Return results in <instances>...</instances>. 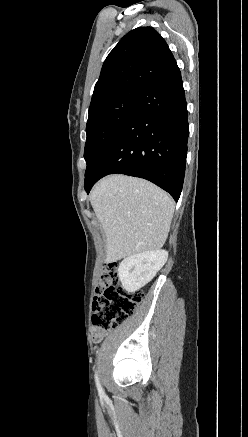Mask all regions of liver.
I'll return each instance as SVG.
<instances>
[{
	"label": "liver",
	"mask_w": 248,
	"mask_h": 437,
	"mask_svg": "<svg viewBox=\"0 0 248 437\" xmlns=\"http://www.w3.org/2000/svg\"><path fill=\"white\" fill-rule=\"evenodd\" d=\"M106 236V261L159 250L166 242L175 203L154 184L139 178L111 175L89 196Z\"/></svg>",
	"instance_id": "1"
}]
</instances>
